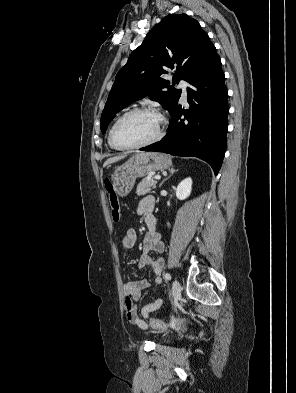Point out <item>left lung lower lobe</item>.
<instances>
[{
    "mask_svg": "<svg viewBox=\"0 0 296 393\" xmlns=\"http://www.w3.org/2000/svg\"><path fill=\"white\" fill-rule=\"evenodd\" d=\"M216 49L187 81L189 110L177 105L171 114L167 135L142 151L194 156L206 161L215 175L222 165L226 150L228 90Z\"/></svg>",
    "mask_w": 296,
    "mask_h": 393,
    "instance_id": "0a47b994",
    "label": "left lung lower lobe"
}]
</instances>
